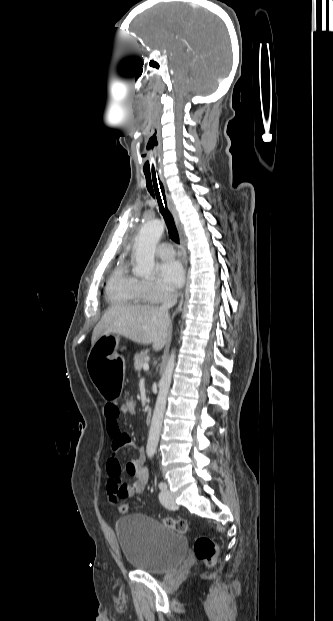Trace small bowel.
Here are the masks:
<instances>
[{
	"instance_id": "1",
	"label": "small bowel",
	"mask_w": 333,
	"mask_h": 621,
	"mask_svg": "<svg viewBox=\"0 0 333 621\" xmlns=\"http://www.w3.org/2000/svg\"><path fill=\"white\" fill-rule=\"evenodd\" d=\"M103 413L106 431L112 440V449L117 451L122 448L133 447L139 451L136 458L129 459L125 464H121L116 456L110 457L107 461L109 475L107 495L110 501L117 502L141 494L148 483L149 473L144 466L143 451L120 428L119 417L123 413L122 408L117 404L107 403L104 406ZM123 474L131 476L133 481L131 483L124 482L121 479Z\"/></svg>"
}]
</instances>
